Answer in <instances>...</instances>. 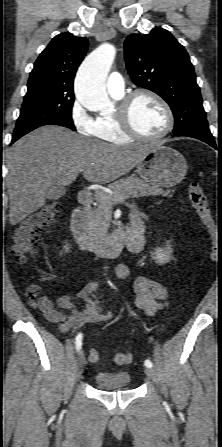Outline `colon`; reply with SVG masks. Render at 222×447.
<instances>
[{
	"instance_id": "colon-1",
	"label": "colon",
	"mask_w": 222,
	"mask_h": 447,
	"mask_svg": "<svg viewBox=\"0 0 222 447\" xmlns=\"http://www.w3.org/2000/svg\"><path fill=\"white\" fill-rule=\"evenodd\" d=\"M188 196L207 233L215 240L217 228L203 187L199 183L193 182L189 186ZM61 209L60 202L48 204L27 217L17 227L12 241V254L17 263L24 264L30 256L35 254L38 247V234L54 222ZM215 252L216 246L213 245L212 257ZM27 294L29 299L34 301L39 294V288L36 285H30ZM89 356L93 362L98 360V353L95 350L91 351ZM113 360L119 365L128 364L132 361V356L129 353L119 352L113 356Z\"/></svg>"
}]
</instances>
